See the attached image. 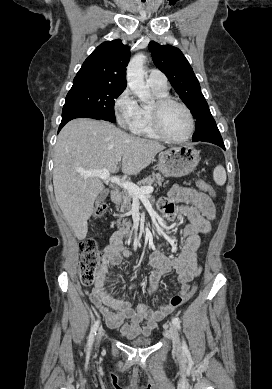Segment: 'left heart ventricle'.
Listing matches in <instances>:
<instances>
[{"label": "left heart ventricle", "instance_id": "left-heart-ventricle-1", "mask_svg": "<svg viewBox=\"0 0 272 389\" xmlns=\"http://www.w3.org/2000/svg\"><path fill=\"white\" fill-rule=\"evenodd\" d=\"M162 128L167 135L180 138L189 130V120L186 112L177 105H169L161 115Z\"/></svg>", "mask_w": 272, "mask_h": 389}]
</instances>
